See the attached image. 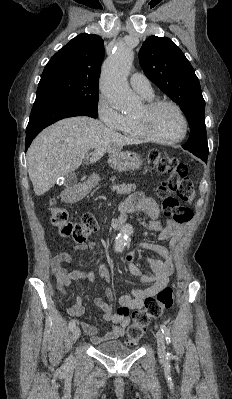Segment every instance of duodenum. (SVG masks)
Here are the masks:
<instances>
[{
	"mask_svg": "<svg viewBox=\"0 0 232 399\" xmlns=\"http://www.w3.org/2000/svg\"><path fill=\"white\" fill-rule=\"evenodd\" d=\"M81 193H82V190L79 187H75V188L70 189L67 192L66 197L68 199H76L77 197H79L81 195ZM122 222H123V219L117 220V222L115 224L116 227H119L122 224Z\"/></svg>",
	"mask_w": 232,
	"mask_h": 399,
	"instance_id": "obj_1",
	"label": "duodenum"
}]
</instances>
